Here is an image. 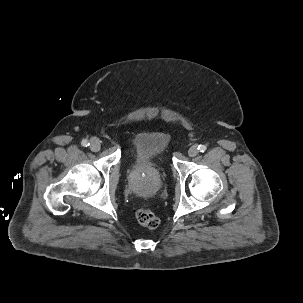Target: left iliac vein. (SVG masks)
<instances>
[{
    "label": "left iliac vein",
    "instance_id": "1",
    "mask_svg": "<svg viewBox=\"0 0 303 303\" xmlns=\"http://www.w3.org/2000/svg\"><path fill=\"white\" fill-rule=\"evenodd\" d=\"M198 154V148H197V146H191L190 148H189V150H188V155L190 156V157H194V156H196Z\"/></svg>",
    "mask_w": 303,
    "mask_h": 303
}]
</instances>
